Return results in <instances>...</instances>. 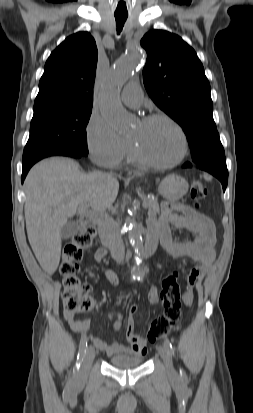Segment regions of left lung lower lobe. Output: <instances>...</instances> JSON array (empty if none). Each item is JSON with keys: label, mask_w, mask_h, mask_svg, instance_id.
<instances>
[{"label": "left lung lower lobe", "mask_w": 253, "mask_h": 413, "mask_svg": "<svg viewBox=\"0 0 253 413\" xmlns=\"http://www.w3.org/2000/svg\"><path fill=\"white\" fill-rule=\"evenodd\" d=\"M184 168H191L192 164L187 162L183 165ZM199 169L207 171L217 177L223 186V191H225L227 187L228 181V170L226 166V162H210L203 165L198 166Z\"/></svg>", "instance_id": "obj_1"}]
</instances>
